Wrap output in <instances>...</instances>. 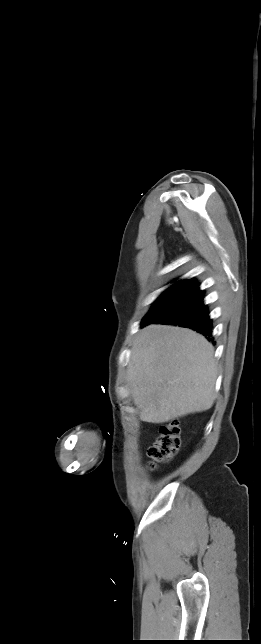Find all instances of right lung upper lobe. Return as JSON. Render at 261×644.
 <instances>
[{
  "instance_id": "1",
  "label": "right lung upper lobe",
  "mask_w": 261,
  "mask_h": 644,
  "mask_svg": "<svg viewBox=\"0 0 261 644\" xmlns=\"http://www.w3.org/2000/svg\"><path fill=\"white\" fill-rule=\"evenodd\" d=\"M184 282H189V283H195V284H197V282H196L195 280H193V279H190V280H187V281H184Z\"/></svg>"
}]
</instances>
